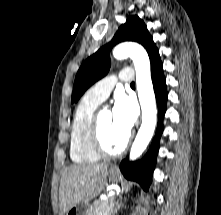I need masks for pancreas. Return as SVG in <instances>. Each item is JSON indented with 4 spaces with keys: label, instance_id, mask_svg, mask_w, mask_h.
Masks as SVG:
<instances>
[{
    "label": "pancreas",
    "instance_id": "pancreas-1",
    "mask_svg": "<svg viewBox=\"0 0 221 215\" xmlns=\"http://www.w3.org/2000/svg\"><path fill=\"white\" fill-rule=\"evenodd\" d=\"M113 206V198L106 200H96L89 208L88 215H109Z\"/></svg>",
    "mask_w": 221,
    "mask_h": 215
}]
</instances>
